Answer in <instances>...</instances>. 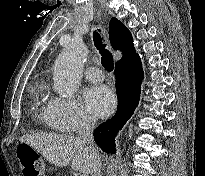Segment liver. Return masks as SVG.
Returning a JSON list of instances; mask_svg holds the SVG:
<instances>
[{
	"label": "liver",
	"instance_id": "1",
	"mask_svg": "<svg viewBox=\"0 0 205 176\" xmlns=\"http://www.w3.org/2000/svg\"><path fill=\"white\" fill-rule=\"evenodd\" d=\"M41 153L50 163L65 167L71 162L74 171L84 175L91 173L95 156L73 135L35 133L19 139Z\"/></svg>",
	"mask_w": 205,
	"mask_h": 176
}]
</instances>
